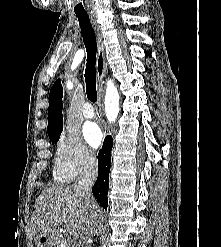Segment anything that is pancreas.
<instances>
[{
  "label": "pancreas",
  "instance_id": "pancreas-1",
  "mask_svg": "<svg viewBox=\"0 0 221 247\" xmlns=\"http://www.w3.org/2000/svg\"><path fill=\"white\" fill-rule=\"evenodd\" d=\"M61 244H62V247H71V244L66 240H62Z\"/></svg>",
  "mask_w": 221,
  "mask_h": 247
}]
</instances>
